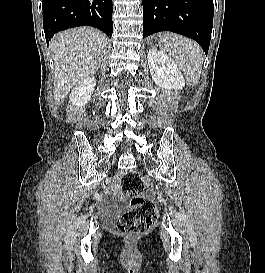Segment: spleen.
<instances>
[{"label": "spleen", "mask_w": 265, "mask_h": 273, "mask_svg": "<svg viewBox=\"0 0 265 273\" xmlns=\"http://www.w3.org/2000/svg\"><path fill=\"white\" fill-rule=\"evenodd\" d=\"M159 47L183 71L190 85L198 83L203 64V52L195 41L181 35L164 33L159 39Z\"/></svg>", "instance_id": "1"}]
</instances>
